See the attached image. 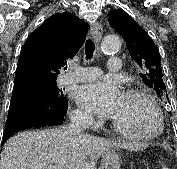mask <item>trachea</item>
<instances>
[{
  "label": "trachea",
  "mask_w": 177,
  "mask_h": 169,
  "mask_svg": "<svg viewBox=\"0 0 177 169\" xmlns=\"http://www.w3.org/2000/svg\"><path fill=\"white\" fill-rule=\"evenodd\" d=\"M94 50H95L94 43L90 39H88L86 41V45H85L86 60H89L93 57ZM66 69H67V67H66Z\"/></svg>",
  "instance_id": "obj_1"
}]
</instances>
